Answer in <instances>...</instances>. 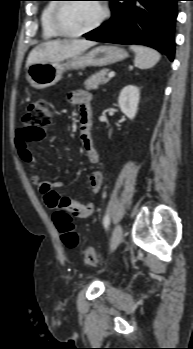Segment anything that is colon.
Returning <instances> with one entry per match:
<instances>
[{
	"label": "colon",
	"instance_id": "5ec220e1",
	"mask_svg": "<svg viewBox=\"0 0 193 349\" xmlns=\"http://www.w3.org/2000/svg\"><path fill=\"white\" fill-rule=\"evenodd\" d=\"M53 122V113L47 104L42 100H36L30 103L27 112L23 117L24 129L33 139H41L45 132L44 128ZM72 215L67 206L62 205L55 209L54 221L61 233L64 244L69 247H75L78 241L77 234L74 231ZM82 256L85 262L90 266H98L102 263V257L91 247L82 250Z\"/></svg>",
	"mask_w": 193,
	"mask_h": 349
}]
</instances>
